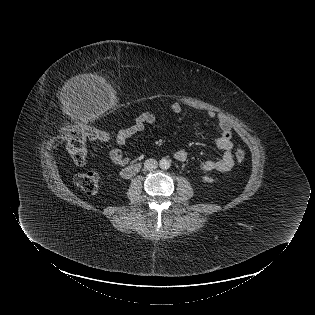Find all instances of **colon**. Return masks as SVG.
<instances>
[{
	"label": "colon",
	"instance_id": "1",
	"mask_svg": "<svg viewBox=\"0 0 315 315\" xmlns=\"http://www.w3.org/2000/svg\"><path fill=\"white\" fill-rule=\"evenodd\" d=\"M67 150L77 165H83L87 159V141H107L109 135L91 126L73 127L66 132ZM235 159L241 163L245 159V152L237 149ZM76 184L87 194L92 195L98 191L99 174L96 170L82 172L76 177Z\"/></svg>",
	"mask_w": 315,
	"mask_h": 315
}]
</instances>
